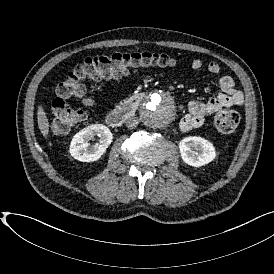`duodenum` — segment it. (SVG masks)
Returning <instances> with one entry per match:
<instances>
[{
	"label": "duodenum",
	"instance_id": "duodenum-1",
	"mask_svg": "<svg viewBox=\"0 0 274 274\" xmlns=\"http://www.w3.org/2000/svg\"><path fill=\"white\" fill-rule=\"evenodd\" d=\"M141 102L142 99L137 96L124 100L106 116L108 125L111 127H119L122 125L126 120L133 116Z\"/></svg>",
	"mask_w": 274,
	"mask_h": 274
}]
</instances>
